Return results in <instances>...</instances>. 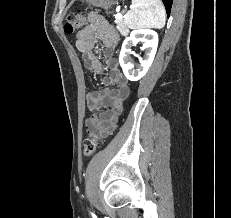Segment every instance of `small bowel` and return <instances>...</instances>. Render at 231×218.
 I'll use <instances>...</instances> for the list:
<instances>
[{"instance_id":"1","label":"small bowel","mask_w":231,"mask_h":218,"mask_svg":"<svg viewBox=\"0 0 231 218\" xmlns=\"http://www.w3.org/2000/svg\"><path fill=\"white\" fill-rule=\"evenodd\" d=\"M99 39L107 53L104 62L94 52ZM119 40L118 32L96 11L88 14V25L76 34L75 44L83 55L85 68L94 75H100L105 85L86 95L87 107L92 113L86 121V128L89 133L97 134L100 138H106L115 131L123 104L130 92L128 82L115 58ZM101 108L105 110L99 112Z\"/></svg>"}]
</instances>
